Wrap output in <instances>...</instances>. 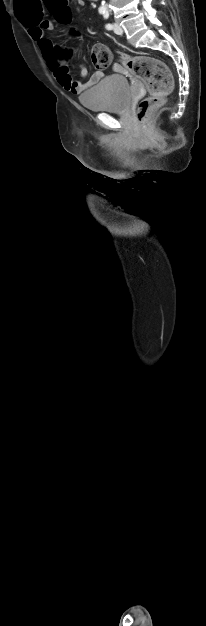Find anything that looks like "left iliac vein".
I'll return each mask as SVG.
<instances>
[{
    "label": "left iliac vein",
    "mask_w": 206,
    "mask_h": 626,
    "mask_svg": "<svg viewBox=\"0 0 206 626\" xmlns=\"http://www.w3.org/2000/svg\"><path fill=\"white\" fill-rule=\"evenodd\" d=\"M113 30L118 35L123 34V29H122V27L118 23H114Z\"/></svg>",
    "instance_id": "left-iliac-vein-1"
}]
</instances>
